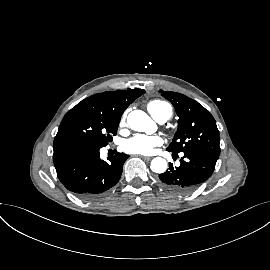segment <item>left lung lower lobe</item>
Instances as JSON below:
<instances>
[{"instance_id": "0a47b994", "label": "left lung lower lobe", "mask_w": 270, "mask_h": 270, "mask_svg": "<svg viewBox=\"0 0 270 270\" xmlns=\"http://www.w3.org/2000/svg\"><path fill=\"white\" fill-rule=\"evenodd\" d=\"M217 160L216 157L200 152H184L180 166L174 167L169 163V170L159 175L160 184L174 193H189L212 175Z\"/></svg>"}]
</instances>
